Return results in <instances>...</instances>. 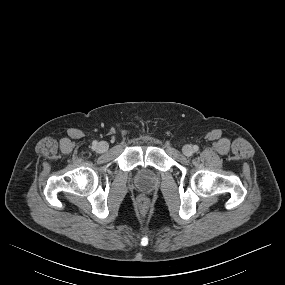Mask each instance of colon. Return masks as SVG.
I'll list each match as a JSON object with an SVG mask.
<instances>
[{
  "instance_id": "1",
  "label": "colon",
  "mask_w": 285,
  "mask_h": 285,
  "mask_svg": "<svg viewBox=\"0 0 285 285\" xmlns=\"http://www.w3.org/2000/svg\"><path fill=\"white\" fill-rule=\"evenodd\" d=\"M139 206L141 209L146 210L148 208V200L145 197L139 199Z\"/></svg>"
}]
</instances>
